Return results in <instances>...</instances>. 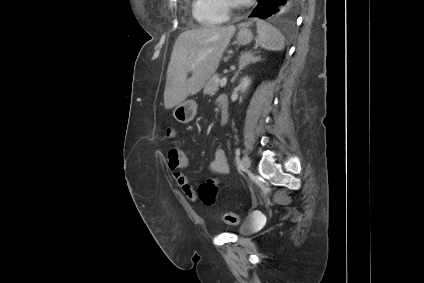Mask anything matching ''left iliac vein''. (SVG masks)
<instances>
[{"mask_svg":"<svg viewBox=\"0 0 424 283\" xmlns=\"http://www.w3.org/2000/svg\"><path fill=\"white\" fill-rule=\"evenodd\" d=\"M242 168L247 171L250 168L251 160L248 155H244L241 161Z\"/></svg>","mask_w":424,"mask_h":283,"instance_id":"4c4485c4","label":"left iliac vein"}]
</instances>
